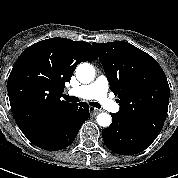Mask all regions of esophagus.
I'll list each match as a JSON object with an SVG mask.
<instances>
[{"label":"esophagus","mask_w":178,"mask_h":178,"mask_svg":"<svg viewBox=\"0 0 178 178\" xmlns=\"http://www.w3.org/2000/svg\"><path fill=\"white\" fill-rule=\"evenodd\" d=\"M100 112H101L100 109H96V108H93V107L90 108V113H91L92 116H95Z\"/></svg>","instance_id":"1"}]
</instances>
